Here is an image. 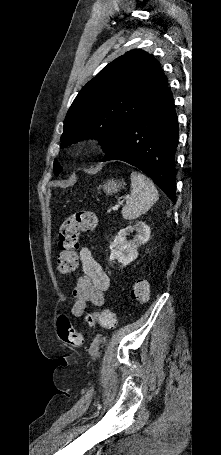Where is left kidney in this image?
<instances>
[{"label": "left kidney", "mask_w": 221, "mask_h": 455, "mask_svg": "<svg viewBox=\"0 0 221 455\" xmlns=\"http://www.w3.org/2000/svg\"><path fill=\"white\" fill-rule=\"evenodd\" d=\"M137 235L133 240L128 241L126 236L133 231ZM150 238V227L145 222L139 221L134 226L121 229L110 245V261L121 263L122 266L128 265L138 257V247L145 244Z\"/></svg>", "instance_id": "5707ae66"}]
</instances>
